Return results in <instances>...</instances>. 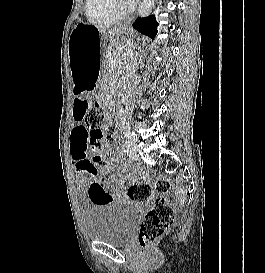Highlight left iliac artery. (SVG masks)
<instances>
[{
  "mask_svg": "<svg viewBox=\"0 0 265 273\" xmlns=\"http://www.w3.org/2000/svg\"><path fill=\"white\" fill-rule=\"evenodd\" d=\"M125 137L128 140H137V136L135 135V133L134 132H130L129 130L125 131Z\"/></svg>",
  "mask_w": 265,
  "mask_h": 273,
  "instance_id": "1",
  "label": "left iliac artery"
}]
</instances>
